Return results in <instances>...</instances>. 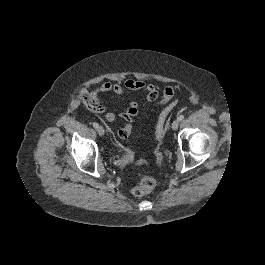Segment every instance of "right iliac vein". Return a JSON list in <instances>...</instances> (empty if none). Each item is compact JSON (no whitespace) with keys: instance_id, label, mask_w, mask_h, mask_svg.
I'll return each instance as SVG.
<instances>
[{"instance_id":"1","label":"right iliac vein","mask_w":265,"mask_h":265,"mask_svg":"<svg viewBox=\"0 0 265 265\" xmlns=\"http://www.w3.org/2000/svg\"><path fill=\"white\" fill-rule=\"evenodd\" d=\"M97 132L100 136L104 135L105 133L104 128L102 126L97 127Z\"/></svg>"}]
</instances>
